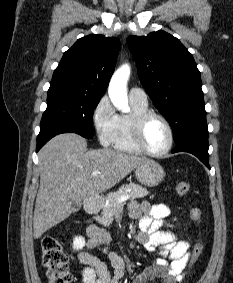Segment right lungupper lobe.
Instances as JSON below:
<instances>
[{
    "mask_svg": "<svg viewBox=\"0 0 233 283\" xmlns=\"http://www.w3.org/2000/svg\"><path fill=\"white\" fill-rule=\"evenodd\" d=\"M119 46L116 37L89 35L78 39L54 70L50 87L102 97L114 72Z\"/></svg>",
    "mask_w": 233,
    "mask_h": 283,
    "instance_id": "cb5924a9",
    "label": "right lung upper lobe"
}]
</instances>
